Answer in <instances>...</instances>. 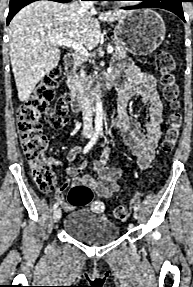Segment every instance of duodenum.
<instances>
[{"mask_svg":"<svg viewBox=\"0 0 193 287\" xmlns=\"http://www.w3.org/2000/svg\"><path fill=\"white\" fill-rule=\"evenodd\" d=\"M77 58L73 52H69L65 55L64 64L66 70L67 86L72 94L71 108L74 112H79L88 106V101L83 92L77 90L75 78L73 75ZM110 82L104 81L102 83V89L105 90L109 87Z\"/></svg>","mask_w":193,"mask_h":287,"instance_id":"410a0bca","label":"duodenum"}]
</instances>
